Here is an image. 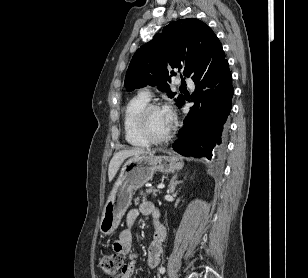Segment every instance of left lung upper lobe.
Here are the masks:
<instances>
[{
	"label": "left lung upper lobe",
	"instance_id": "5c2ea615",
	"mask_svg": "<svg viewBox=\"0 0 308 278\" xmlns=\"http://www.w3.org/2000/svg\"><path fill=\"white\" fill-rule=\"evenodd\" d=\"M225 60L215 33L202 21L189 18L171 22L163 33L141 46L132 57L124 86L127 91L146 85L158 86L172 98L168 82L175 71L192 80L210 74ZM180 107L184 97L175 99Z\"/></svg>",
	"mask_w": 308,
	"mask_h": 278
}]
</instances>
